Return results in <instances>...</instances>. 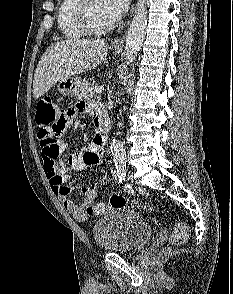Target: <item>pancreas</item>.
Wrapping results in <instances>:
<instances>
[{
	"label": "pancreas",
	"mask_w": 233,
	"mask_h": 294,
	"mask_svg": "<svg viewBox=\"0 0 233 294\" xmlns=\"http://www.w3.org/2000/svg\"><path fill=\"white\" fill-rule=\"evenodd\" d=\"M95 95V89L90 85L89 81H84L80 88L79 100H88Z\"/></svg>",
	"instance_id": "obj_1"
}]
</instances>
